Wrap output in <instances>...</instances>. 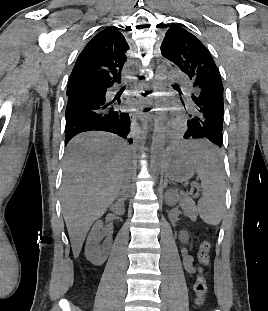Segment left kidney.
<instances>
[{"instance_id": "5707ae66", "label": "left kidney", "mask_w": 268, "mask_h": 311, "mask_svg": "<svg viewBox=\"0 0 268 311\" xmlns=\"http://www.w3.org/2000/svg\"><path fill=\"white\" fill-rule=\"evenodd\" d=\"M166 195H167L166 203L169 206L175 205L180 198L177 191H175V190H171V192L167 193ZM187 235L188 234L185 231H182L181 234L179 235V238L183 243H187V240H188Z\"/></svg>"}]
</instances>
